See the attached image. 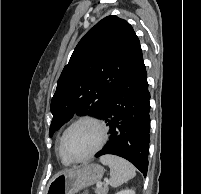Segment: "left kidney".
Masks as SVG:
<instances>
[{
    "mask_svg": "<svg viewBox=\"0 0 201 194\" xmlns=\"http://www.w3.org/2000/svg\"><path fill=\"white\" fill-rule=\"evenodd\" d=\"M116 194H135V192L131 189H126V190L119 191Z\"/></svg>",
    "mask_w": 201,
    "mask_h": 194,
    "instance_id": "obj_1",
    "label": "left kidney"
}]
</instances>
